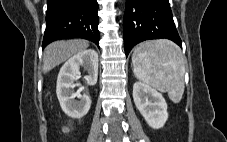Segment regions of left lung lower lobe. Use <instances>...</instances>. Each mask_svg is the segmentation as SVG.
I'll list each match as a JSON object with an SVG mask.
<instances>
[{
	"label": "left lung lower lobe",
	"instance_id": "1",
	"mask_svg": "<svg viewBox=\"0 0 227 142\" xmlns=\"http://www.w3.org/2000/svg\"><path fill=\"white\" fill-rule=\"evenodd\" d=\"M123 35L126 56L136 44L150 39L166 38L182 47L169 0H126Z\"/></svg>",
	"mask_w": 227,
	"mask_h": 142
}]
</instances>
